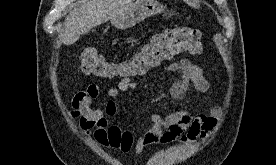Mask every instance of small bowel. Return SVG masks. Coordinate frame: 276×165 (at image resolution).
Masks as SVG:
<instances>
[{
	"instance_id": "obj_1",
	"label": "small bowel",
	"mask_w": 276,
	"mask_h": 165,
	"mask_svg": "<svg viewBox=\"0 0 276 165\" xmlns=\"http://www.w3.org/2000/svg\"><path fill=\"white\" fill-rule=\"evenodd\" d=\"M162 70L178 74V78L170 87V95L175 100H182L190 85L202 93L209 90L203 70L187 59L168 62ZM136 86L130 78H122L115 87L106 89L109 100L101 110L91 106L92 101L97 99L101 92L97 84H91L74 96L71 114L79 119L82 129L98 144L122 154L128 153L133 147L136 153L141 155L151 144L205 138L217 124V116L220 113L218 106L212 108L210 115L192 116L185 110H177L166 116L156 113L151 117L150 127L135 138L131 131L113 124L112 118L117 112L114 99L120 93L133 90Z\"/></svg>"
}]
</instances>
